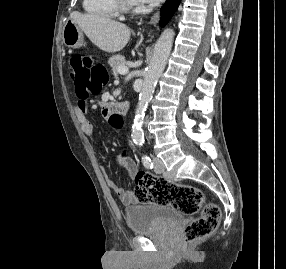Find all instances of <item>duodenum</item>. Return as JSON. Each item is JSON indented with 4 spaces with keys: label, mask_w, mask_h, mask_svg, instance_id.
<instances>
[{
    "label": "duodenum",
    "mask_w": 286,
    "mask_h": 269,
    "mask_svg": "<svg viewBox=\"0 0 286 269\" xmlns=\"http://www.w3.org/2000/svg\"><path fill=\"white\" fill-rule=\"evenodd\" d=\"M109 110H117L119 113L125 114L129 109L128 103L111 104L108 105Z\"/></svg>",
    "instance_id": "1"
}]
</instances>
